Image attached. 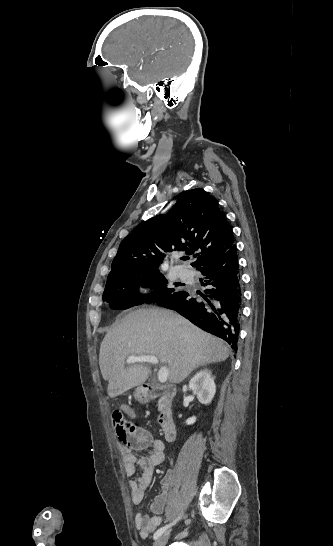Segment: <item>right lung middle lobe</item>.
<instances>
[{
    "label": "right lung middle lobe",
    "instance_id": "1",
    "mask_svg": "<svg viewBox=\"0 0 333 546\" xmlns=\"http://www.w3.org/2000/svg\"><path fill=\"white\" fill-rule=\"evenodd\" d=\"M139 285L155 286L157 292L145 296L144 299L138 294ZM179 291L167 287V281L159 270H112L108 275L102 299L107 301L111 308L123 310L144 302H158Z\"/></svg>",
    "mask_w": 333,
    "mask_h": 546
}]
</instances>
